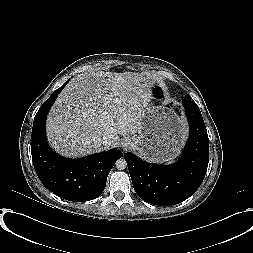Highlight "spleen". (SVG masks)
I'll use <instances>...</instances> for the list:
<instances>
[{"label":"spleen","instance_id":"obj_1","mask_svg":"<svg viewBox=\"0 0 253 253\" xmlns=\"http://www.w3.org/2000/svg\"><path fill=\"white\" fill-rule=\"evenodd\" d=\"M167 161V163H172V162H174V159L173 158H170V159H168V160H166Z\"/></svg>","mask_w":253,"mask_h":253}]
</instances>
